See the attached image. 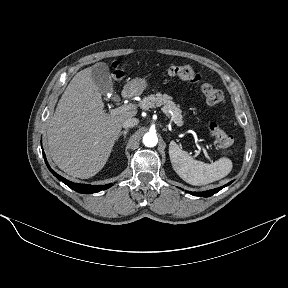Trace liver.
I'll return each instance as SVG.
<instances>
[{
	"instance_id": "obj_1",
	"label": "liver",
	"mask_w": 288,
	"mask_h": 288,
	"mask_svg": "<svg viewBox=\"0 0 288 288\" xmlns=\"http://www.w3.org/2000/svg\"><path fill=\"white\" fill-rule=\"evenodd\" d=\"M92 67L79 71L60 98L48 130L51 158L64 172L88 179L106 164L123 122L136 110L119 114L104 111Z\"/></svg>"
}]
</instances>
